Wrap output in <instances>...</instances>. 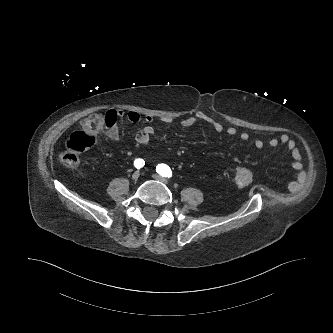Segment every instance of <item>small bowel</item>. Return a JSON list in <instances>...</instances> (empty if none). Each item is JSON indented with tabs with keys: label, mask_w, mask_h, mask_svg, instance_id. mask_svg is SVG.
<instances>
[{
	"label": "small bowel",
	"mask_w": 333,
	"mask_h": 333,
	"mask_svg": "<svg viewBox=\"0 0 333 333\" xmlns=\"http://www.w3.org/2000/svg\"><path fill=\"white\" fill-rule=\"evenodd\" d=\"M116 113L118 116L124 115L122 110H118ZM127 119L132 123H138L142 120L146 123V125L137 132L135 140L140 145H147L155 132L154 127L152 126L155 120L154 116L150 114L142 116L136 111H129L127 113ZM161 121L166 124L171 122L167 117H162ZM198 122L208 123L215 132L220 134L224 133L232 137L238 136L242 141H248L250 139V135L247 132H238V130L233 126H225L222 122L204 112H197L194 115L186 117L180 122V125L183 128H190ZM108 136L111 140L118 142L128 148V145L122 139L116 126H114L109 131ZM266 143L272 148H275L280 144L286 146L292 157V167L298 172L302 171L303 161L299 152V148L296 142L288 134L283 133L278 137H270L266 142L261 138H255L253 140V144L257 149H262ZM301 180L302 174L299 175L298 181H295L291 184V187L295 188L301 182Z\"/></svg>",
	"instance_id": "small-bowel-1"
}]
</instances>
